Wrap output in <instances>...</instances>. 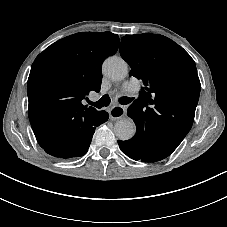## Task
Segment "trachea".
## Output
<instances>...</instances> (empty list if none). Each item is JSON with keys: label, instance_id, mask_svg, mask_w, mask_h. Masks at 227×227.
Instances as JSON below:
<instances>
[{"label": "trachea", "instance_id": "1", "mask_svg": "<svg viewBox=\"0 0 227 227\" xmlns=\"http://www.w3.org/2000/svg\"><path fill=\"white\" fill-rule=\"evenodd\" d=\"M118 102L121 105H127L132 102L133 98L129 97H118L117 98ZM111 103L110 96L108 94L103 95L98 101L96 102H89L90 105L95 106L96 108H102V107H107Z\"/></svg>", "mask_w": 227, "mask_h": 227}]
</instances>
